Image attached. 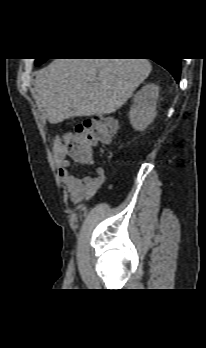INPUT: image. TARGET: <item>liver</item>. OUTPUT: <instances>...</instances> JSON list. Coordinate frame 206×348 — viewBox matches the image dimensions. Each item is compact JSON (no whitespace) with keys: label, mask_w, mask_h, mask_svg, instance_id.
I'll return each instance as SVG.
<instances>
[{"label":"liver","mask_w":206,"mask_h":348,"mask_svg":"<svg viewBox=\"0 0 206 348\" xmlns=\"http://www.w3.org/2000/svg\"><path fill=\"white\" fill-rule=\"evenodd\" d=\"M151 70L148 59H54L37 72L33 96L51 124L110 114Z\"/></svg>","instance_id":"obj_1"}]
</instances>
